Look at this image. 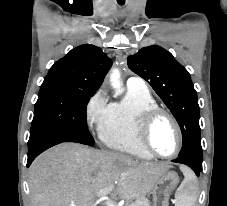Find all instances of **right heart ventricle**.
<instances>
[{
  "instance_id": "e07e8e85",
  "label": "right heart ventricle",
  "mask_w": 227,
  "mask_h": 206,
  "mask_svg": "<svg viewBox=\"0 0 227 206\" xmlns=\"http://www.w3.org/2000/svg\"><path fill=\"white\" fill-rule=\"evenodd\" d=\"M154 107L158 104L148 90L128 89L121 101L109 105L105 123L99 131L100 140L110 149L140 159H153L139 143L137 124L141 114Z\"/></svg>"
}]
</instances>
